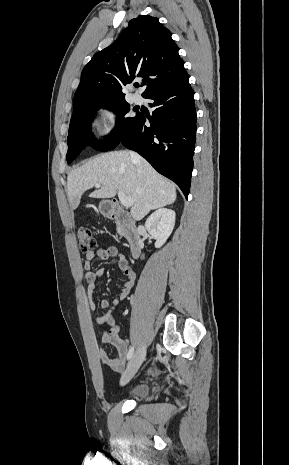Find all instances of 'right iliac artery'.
<instances>
[{"mask_svg": "<svg viewBox=\"0 0 289 465\" xmlns=\"http://www.w3.org/2000/svg\"><path fill=\"white\" fill-rule=\"evenodd\" d=\"M133 352H134V347H131V348L129 349V351H128V354H127V359H128V360L132 357Z\"/></svg>", "mask_w": 289, "mask_h": 465, "instance_id": "82829eb1", "label": "right iliac artery"}]
</instances>
